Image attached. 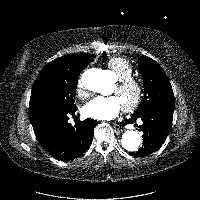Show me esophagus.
<instances>
[{"label":"esophagus","mask_w":200,"mask_h":200,"mask_svg":"<svg viewBox=\"0 0 200 200\" xmlns=\"http://www.w3.org/2000/svg\"><path fill=\"white\" fill-rule=\"evenodd\" d=\"M113 128H114L116 131H118V132L123 131V127L120 126V125H118V124H114V125H113Z\"/></svg>","instance_id":"obj_1"}]
</instances>
